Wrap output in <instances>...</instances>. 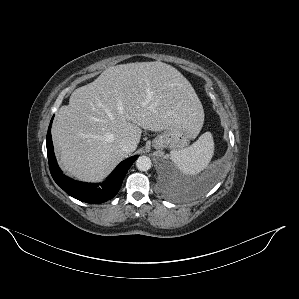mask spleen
<instances>
[{"mask_svg":"<svg viewBox=\"0 0 299 299\" xmlns=\"http://www.w3.org/2000/svg\"><path fill=\"white\" fill-rule=\"evenodd\" d=\"M213 154V136L210 132H206L189 147L171 151L170 157L182 173L195 175L209 165Z\"/></svg>","mask_w":299,"mask_h":299,"instance_id":"3e777b00","label":"spleen"}]
</instances>
